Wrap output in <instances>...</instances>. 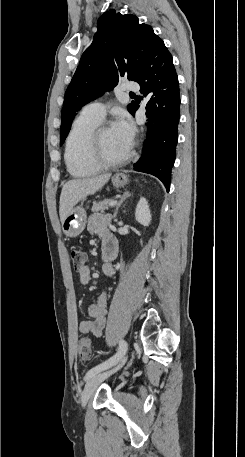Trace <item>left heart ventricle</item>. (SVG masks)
I'll return each instance as SVG.
<instances>
[{
	"label": "left heart ventricle",
	"mask_w": 245,
	"mask_h": 457,
	"mask_svg": "<svg viewBox=\"0 0 245 457\" xmlns=\"http://www.w3.org/2000/svg\"><path fill=\"white\" fill-rule=\"evenodd\" d=\"M128 150L113 128L104 130L94 141L92 155L96 160L118 158Z\"/></svg>",
	"instance_id": "left-heart-ventricle-1"
}]
</instances>
